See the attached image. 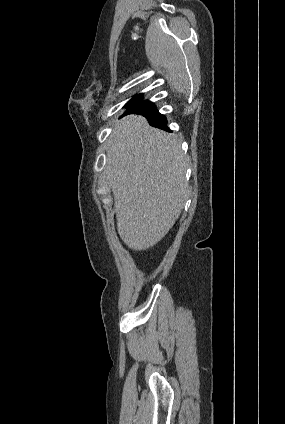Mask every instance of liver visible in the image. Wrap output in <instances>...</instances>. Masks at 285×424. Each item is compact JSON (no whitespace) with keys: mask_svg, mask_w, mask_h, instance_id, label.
I'll list each match as a JSON object with an SVG mask.
<instances>
[{"mask_svg":"<svg viewBox=\"0 0 285 424\" xmlns=\"http://www.w3.org/2000/svg\"><path fill=\"white\" fill-rule=\"evenodd\" d=\"M107 180L120 238L146 250L173 227L187 198L186 162L174 134L139 115L117 121L106 142Z\"/></svg>","mask_w":285,"mask_h":424,"instance_id":"6515ba94","label":"liver"}]
</instances>
